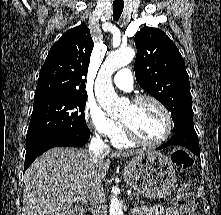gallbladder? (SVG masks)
Here are the masks:
<instances>
[{
	"label": "gallbladder",
	"instance_id": "1",
	"mask_svg": "<svg viewBox=\"0 0 221 215\" xmlns=\"http://www.w3.org/2000/svg\"><path fill=\"white\" fill-rule=\"evenodd\" d=\"M73 212H74L73 215H80V211H79V210H76V209H75Z\"/></svg>",
	"mask_w": 221,
	"mask_h": 215
}]
</instances>
